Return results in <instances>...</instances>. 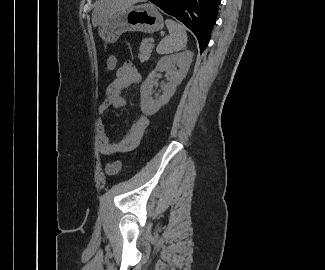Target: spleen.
I'll use <instances>...</instances> for the list:
<instances>
[{
    "label": "spleen",
    "instance_id": "1",
    "mask_svg": "<svg viewBox=\"0 0 325 270\" xmlns=\"http://www.w3.org/2000/svg\"><path fill=\"white\" fill-rule=\"evenodd\" d=\"M165 23L169 35L161 40L157 46V53L170 54L183 50L187 43V33L185 28L171 19H167Z\"/></svg>",
    "mask_w": 325,
    "mask_h": 270
}]
</instances>
